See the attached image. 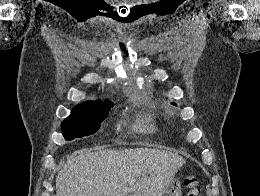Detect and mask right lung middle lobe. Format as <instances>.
<instances>
[{"mask_svg": "<svg viewBox=\"0 0 260 196\" xmlns=\"http://www.w3.org/2000/svg\"><path fill=\"white\" fill-rule=\"evenodd\" d=\"M110 109L76 110L61 123L63 136L66 140H73L94 134L101 122L107 117Z\"/></svg>", "mask_w": 260, "mask_h": 196, "instance_id": "right-lung-middle-lobe-1", "label": "right lung middle lobe"}]
</instances>
